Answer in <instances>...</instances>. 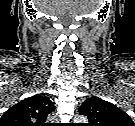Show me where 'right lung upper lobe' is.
Wrapping results in <instances>:
<instances>
[{
	"label": "right lung upper lobe",
	"instance_id": "cb5924a9",
	"mask_svg": "<svg viewBox=\"0 0 135 126\" xmlns=\"http://www.w3.org/2000/svg\"><path fill=\"white\" fill-rule=\"evenodd\" d=\"M53 110L51 100L37 94L10 107L0 118V126H44Z\"/></svg>",
	"mask_w": 135,
	"mask_h": 126
}]
</instances>
